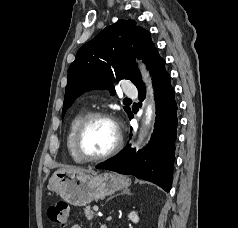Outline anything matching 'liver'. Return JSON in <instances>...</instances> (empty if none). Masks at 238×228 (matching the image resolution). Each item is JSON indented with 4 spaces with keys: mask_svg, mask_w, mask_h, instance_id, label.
I'll list each match as a JSON object with an SVG mask.
<instances>
[{
    "mask_svg": "<svg viewBox=\"0 0 238 228\" xmlns=\"http://www.w3.org/2000/svg\"><path fill=\"white\" fill-rule=\"evenodd\" d=\"M65 171H68V172H86V173H93V170L92 169H82V168H79V167H68L66 169H64Z\"/></svg>",
    "mask_w": 238,
    "mask_h": 228,
    "instance_id": "obj_1",
    "label": "liver"
}]
</instances>
